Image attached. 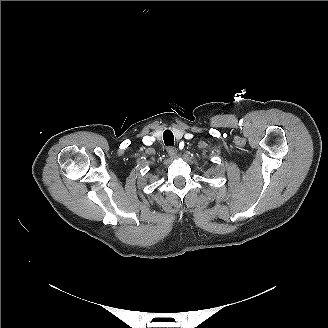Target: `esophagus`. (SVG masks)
Listing matches in <instances>:
<instances>
[{"instance_id":"obj_1","label":"esophagus","mask_w":328,"mask_h":328,"mask_svg":"<svg viewBox=\"0 0 328 328\" xmlns=\"http://www.w3.org/2000/svg\"><path fill=\"white\" fill-rule=\"evenodd\" d=\"M167 152L171 157H176L177 156V150L172 146H169L167 148Z\"/></svg>"}]
</instances>
